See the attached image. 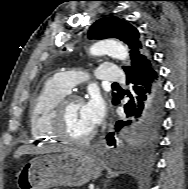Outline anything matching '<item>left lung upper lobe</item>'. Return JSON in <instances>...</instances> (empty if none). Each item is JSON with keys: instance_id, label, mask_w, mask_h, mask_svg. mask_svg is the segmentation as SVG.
I'll return each instance as SVG.
<instances>
[{"instance_id": "1", "label": "left lung upper lobe", "mask_w": 188, "mask_h": 189, "mask_svg": "<svg viewBox=\"0 0 188 189\" xmlns=\"http://www.w3.org/2000/svg\"><path fill=\"white\" fill-rule=\"evenodd\" d=\"M90 39L117 38L126 43L130 48L131 66H123L124 71L137 65L143 60H149V55L144 49L138 30L128 22L117 17L101 18L97 20L88 32ZM113 104L117 101L115 93L112 94ZM160 129V125L146 130H136L130 133L132 143L146 142L154 144Z\"/></svg>"}]
</instances>
